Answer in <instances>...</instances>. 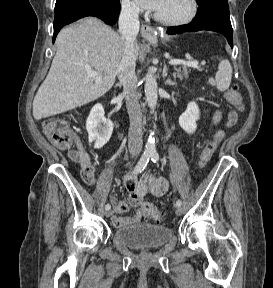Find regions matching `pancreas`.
Returning a JSON list of instances; mask_svg holds the SVG:
<instances>
[{
  "label": "pancreas",
  "instance_id": "pancreas-1",
  "mask_svg": "<svg viewBox=\"0 0 273 288\" xmlns=\"http://www.w3.org/2000/svg\"><path fill=\"white\" fill-rule=\"evenodd\" d=\"M174 76L179 77L180 79H183L184 77H188V73L190 72V69H188L186 66H183L182 68H174Z\"/></svg>",
  "mask_w": 273,
  "mask_h": 288
}]
</instances>
